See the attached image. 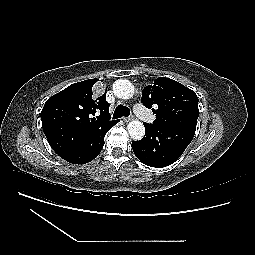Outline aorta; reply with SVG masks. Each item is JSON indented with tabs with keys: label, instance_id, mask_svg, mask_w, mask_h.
I'll return each instance as SVG.
<instances>
[{
	"label": "aorta",
	"instance_id": "1",
	"mask_svg": "<svg viewBox=\"0 0 255 255\" xmlns=\"http://www.w3.org/2000/svg\"><path fill=\"white\" fill-rule=\"evenodd\" d=\"M114 94L121 99H130L134 95V86L128 80L119 79L113 84ZM130 137L134 140L143 138L145 128L139 120H132L127 126Z\"/></svg>",
	"mask_w": 255,
	"mask_h": 255
}]
</instances>
